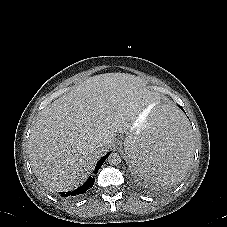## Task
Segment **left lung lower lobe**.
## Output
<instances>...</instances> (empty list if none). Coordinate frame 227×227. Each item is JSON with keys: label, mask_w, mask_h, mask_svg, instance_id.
Segmentation results:
<instances>
[{"label": "left lung lower lobe", "mask_w": 227, "mask_h": 227, "mask_svg": "<svg viewBox=\"0 0 227 227\" xmlns=\"http://www.w3.org/2000/svg\"><path fill=\"white\" fill-rule=\"evenodd\" d=\"M180 108L183 110V108L180 106ZM184 111V110H183ZM191 143L192 144V138H187L183 136H178L177 134H174V136L171 139V142H169L164 148L157 149L154 154L159 155L161 159V166L165 171H169L172 169V167L181 164L179 163L180 158L182 157L185 148L187 145ZM143 156L141 153H139L138 157L136 158L135 164H131L132 169L138 173V164L140 161H142Z\"/></svg>", "instance_id": "0a47b994"}]
</instances>
